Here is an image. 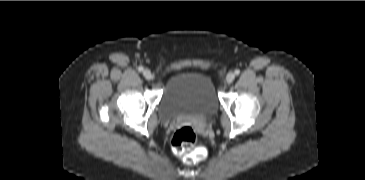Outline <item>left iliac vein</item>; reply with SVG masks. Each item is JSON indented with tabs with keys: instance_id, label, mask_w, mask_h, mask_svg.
<instances>
[{
	"instance_id": "left-iliac-vein-1",
	"label": "left iliac vein",
	"mask_w": 365,
	"mask_h": 180,
	"mask_svg": "<svg viewBox=\"0 0 365 180\" xmlns=\"http://www.w3.org/2000/svg\"><path fill=\"white\" fill-rule=\"evenodd\" d=\"M235 79V74L233 72H229L226 76L227 83H232Z\"/></svg>"
}]
</instances>
